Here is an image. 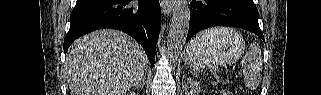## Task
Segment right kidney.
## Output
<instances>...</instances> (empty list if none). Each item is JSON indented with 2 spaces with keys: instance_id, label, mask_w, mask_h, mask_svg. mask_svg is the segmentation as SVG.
<instances>
[{
  "instance_id": "ca27d5eb",
  "label": "right kidney",
  "mask_w": 321,
  "mask_h": 95,
  "mask_svg": "<svg viewBox=\"0 0 321 95\" xmlns=\"http://www.w3.org/2000/svg\"><path fill=\"white\" fill-rule=\"evenodd\" d=\"M130 95H134V93H129Z\"/></svg>"
}]
</instances>
